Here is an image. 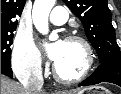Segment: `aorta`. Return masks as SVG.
<instances>
[{"label":"aorta","instance_id":"762f6f07","mask_svg":"<svg viewBox=\"0 0 121 94\" xmlns=\"http://www.w3.org/2000/svg\"><path fill=\"white\" fill-rule=\"evenodd\" d=\"M54 4L55 0H35L33 5L32 18L34 26L44 35L49 32L48 17ZM56 37L57 35L53 33L49 36V39L53 40Z\"/></svg>","mask_w":121,"mask_h":94}]
</instances>
